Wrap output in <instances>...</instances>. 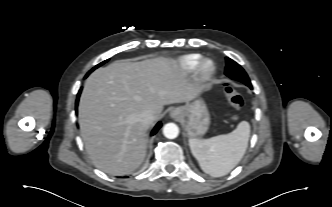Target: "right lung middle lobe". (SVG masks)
Returning a JSON list of instances; mask_svg holds the SVG:
<instances>
[{"label": "right lung middle lobe", "instance_id": "right-lung-middle-lobe-1", "mask_svg": "<svg viewBox=\"0 0 332 207\" xmlns=\"http://www.w3.org/2000/svg\"><path fill=\"white\" fill-rule=\"evenodd\" d=\"M108 60H105L103 61L102 63L98 64L97 66H95L94 68H92L88 73H87V76L93 71L95 70L96 68H98L99 66L103 65L105 62H107Z\"/></svg>", "mask_w": 332, "mask_h": 207}]
</instances>
